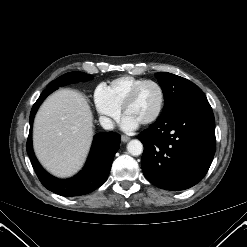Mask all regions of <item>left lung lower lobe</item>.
<instances>
[{"label":"left lung lower lobe","mask_w":247,"mask_h":247,"mask_svg":"<svg viewBox=\"0 0 247 247\" xmlns=\"http://www.w3.org/2000/svg\"><path fill=\"white\" fill-rule=\"evenodd\" d=\"M138 139L144 145L142 171L151 183L172 191L194 186L207 173L216 149L215 120L206 96L185 99Z\"/></svg>","instance_id":"0a47b994"}]
</instances>
